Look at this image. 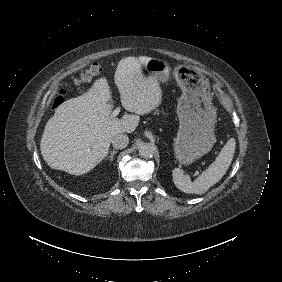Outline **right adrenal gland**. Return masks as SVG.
<instances>
[{
	"label": "right adrenal gland",
	"mask_w": 282,
	"mask_h": 282,
	"mask_svg": "<svg viewBox=\"0 0 282 282\" xmlns=\"http://www.w3.org/2000/svg\"><path fill=\"white\" fill-rule=\"evenodd\" d=\"M109 153L110 155L106 156V158H109L110 161H113L114 155L117 154V151L113 150V151H110Z\"/></svg>",
	"instance_id": "1"
}]
</instances>
